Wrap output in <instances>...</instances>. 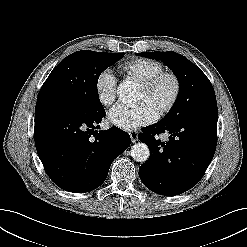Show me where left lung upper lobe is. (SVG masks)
<instances>
[{
	"instance_id": "left-lung-upper-lobe-1",
	"label": "left lung upper lobe",
	"mask_w": 247,
	"mask_h": 247,
	"mask_svg": "<svg viewBox=\"0 0 247 247\" xmlns=\"http://www.w3.org/2000/svg\"><path fill=\"white\" fill-rule=\"evenodd\" d=\"M138 55L161 60L173 70L179 80V95L171 110L161 121L170 123L198 115L218 116L214 89L198 66L173 51L142 52Z\"/></svg>"
}]
</instances>
